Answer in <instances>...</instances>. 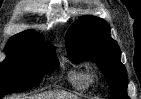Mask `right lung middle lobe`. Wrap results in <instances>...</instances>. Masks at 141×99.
<instances>
[{
    "instance_id": "dd1d6c3e",
    "label": "right lung middle lobe",
    "mask_w": 141,
    "mask_h": 99,
    "mask_svg": "<svg viewBox=\"0 0 141 99\" xmlns=\"http://www.w3.org/2000/svg\"><path fill=\"white\" fill-rule=\"evenodd\" d=\"M5 52L7 56L0 64V98L34 87L59 66L52 45L8 42Z\"/></svg>"
}]
</instances>
